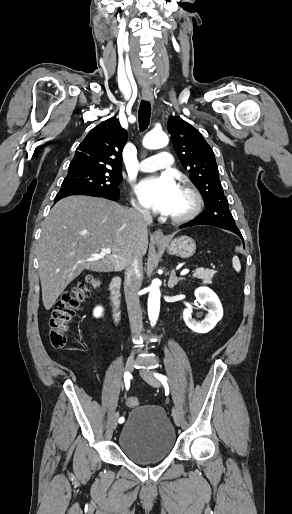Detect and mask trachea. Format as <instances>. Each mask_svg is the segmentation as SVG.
I'll use <instances>...</instances> for the list:
<instances>
[{
  "instance_id": "trachea-1",
  "label": "trachea",
  "mask_w": 292,
  "mask_h": 514,
  "mask_svg": "<svg viewBox=\"0 0 292 514\" xmlns=\"http://www.w3.org/2000/svg\"><path fill=\"white\" fill-rule=\"evenodd\" d=\"M151 117V105L149 102L142 100L139 107V128L141 131H144L148 128Z\"/></svg>"
}]
</instances>
